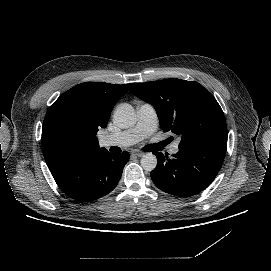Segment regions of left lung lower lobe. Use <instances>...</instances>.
I'll return each mask as SVG.
<instances>
[{
  "mask_svg": "<svg viewBox=\"0 0 271 271\" xmlns=\"http://www.w3.org/2000/svg\"><path fill=\"white\" fill-rule=\"evenodd\" d=\"M225 153L226 145L217 143L196 147L179 145V152L173 158L154 152L158 163L151 172L152 181L159 189L174 196L198 194L215 179Z\"/></svg>",
  "mask_w": 271,
  "mask_h": 271,
  "instance_id": "obj_1",
  "label": "left lung lower lobe"
}]
</instances>
